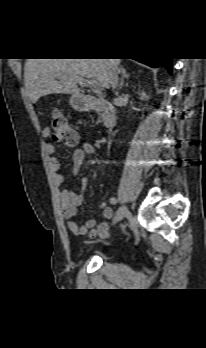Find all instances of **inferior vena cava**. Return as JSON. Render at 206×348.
Returning a JSON list of instances; mask_svg holds the SVG:
<instances>
[{
  "mask_svg": "<svg viewBox=\"0 0 206 348\" xmlns=\"http://www.w3.org/2000/svg\"><path fill=\"white\" fill-rule=\"evenodd\" d=\"M110 69H111V72H110L111 87L113 90H115L118 86V81H119L118 74H119L120 70L118 69V67L113 66V65L110 66ZM114 101H117V99H115Z\"/></svg>",
  "mask_w": 206,
  "mask_h": 348,
  "instance_id": "1",
  "label": "inferior vena cava"
}]
</instances>
